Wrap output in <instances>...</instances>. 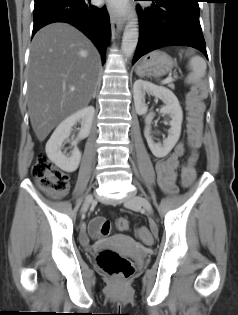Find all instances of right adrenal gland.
Wrapping results in <instances>:
<instances>
[{
	"label": "right adrenal gland",
	"mask_w": 238,
	"mask_h": 315,
	"mask_svg": "<svg viewBox=\"0 0 238 315\" xmlns=\"http://www.w3.org/2000/svg\"><path fill=\"white\" fill-rule=\"evenodd\" d=\"M96 90H97V85L95 86V90H94V93H93V98H95L96 97Z\"/></svg>",
	"instance_id": "right-adrenal-gland-1"
}]
</instances>
